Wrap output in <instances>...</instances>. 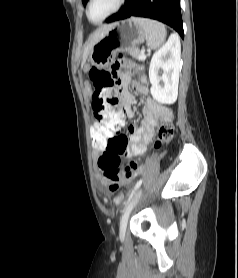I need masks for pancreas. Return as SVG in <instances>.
Instances as JSON below:
<instances>
[{"label":"pancreas","mask_w":238,"mask_h":278,"mask_svg":"<svg viewBox=\"0 0 238 278\" xmlns=\"http://www.w3.org/2000/svg\"><path fill=\"white\" fill-rule=\"evenodd\" d=\"M141 53H142V51H140L137 48H133V49L130 50V55L137 58V59H139Z\"/></svg>","instance_id":"cf45deb5"}]
</instances>
